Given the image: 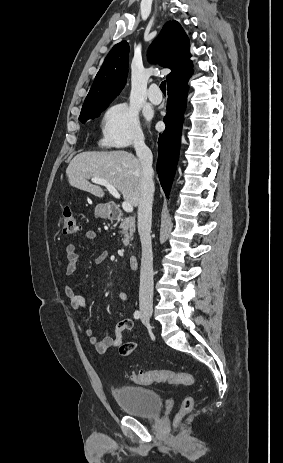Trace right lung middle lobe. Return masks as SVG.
Returning a JSON list of instances; mask_svg holds the SVG:
<instances>
[{"label":"right lung middle lobe","mask_w":283,"mask_h":463,"mask_svg":"<svg viewBox=\"0 0 283 463\" xmlns=\"http://www.w3.org/2000/svg\"><path fill=\"white\" fill-rule=\"evenodd\" d=\"M112 100L113 99L105 100V101H102V102H99V103L83 106L82 110H81V113H80V116H79V120L82 123H84L88 119H94V118L98 117L100 115V113L108 107L109 103Z\"/></svg>","instance_id":"dd1d6c3e"}]
</instances>
